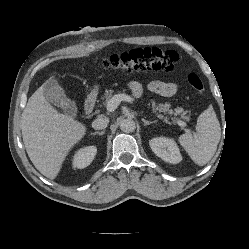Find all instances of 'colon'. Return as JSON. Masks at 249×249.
<instances>
[{
    "label": "colon",
    "instance_id": "colon-1",
    "mask_svg": "<svg viewBox=\"0 0 249 249\" xmlns=\"http://www.w3.org/2000/svg\"><path fill=\"white\" fill-rule=\"evenodd\" d=\"M178 61V55L172 50H163L157 47L139 48L122 54H114L102 60L104 69L122 72L163 70L171 71ZM188 84L196 91L204 89L202 79L196 73L187 77Z\"/></svg>",
    "mask_w": 249,
    "mask_h": 249
}]
</instances>
